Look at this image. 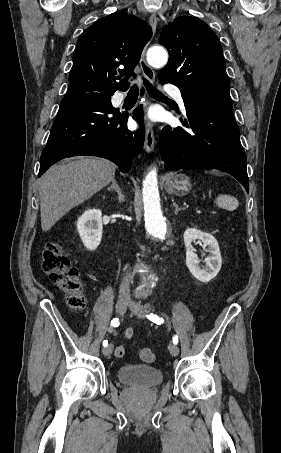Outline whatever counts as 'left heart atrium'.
Returning a JSON list of instances; mask_svg holds the SVG:
<instances>
[{"mask_svg": "<svg viewBox=\"0 0 281 453\" xmlns=\"http://www.w3.org/2000/svg\"><path fill=\"white\" fill-rule=\"evenodd\" d=\"M147 120L150 121H156L157 120V115L155 114L154 111H149L146 115Z\"/></svg>", "mask_w": 281, "mask_h": 453, "instance_id": "39dd6f15", "label": "left heart atrium"}]
</instances>
